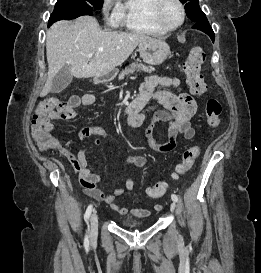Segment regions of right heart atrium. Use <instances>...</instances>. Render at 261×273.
<instances>
[{
  "label": "right heart atrium",
  "instance_id": "right-heart-atrium-1",
  "mask_svg": "<svg viewBox=\"0 0 261 273\" xmlns=\"http://www.w3.org/2000/svg\"><path fill=\"white\" fill-rule=\"evenodd\" d=\"M115 1L116 0H103L102 1V10L112 23H115V16H114V12H115V8H116ZM112 10H113V13L111 15H109L110 11H112Z\"/></svg>",
  "mask_w": 261,
  "mask_h": 273
}]
</instances>
